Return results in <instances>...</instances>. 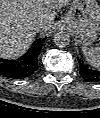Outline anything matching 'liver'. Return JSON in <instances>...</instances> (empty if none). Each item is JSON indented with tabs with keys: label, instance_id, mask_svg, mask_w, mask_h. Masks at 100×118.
Wrapping results in <instances>:
<instances>
[{
	"label": "liver",
	"instance_id": "1",
	"mask_svg": "<svg viewBox=\"0 0 100 118\" xmlns=\"http://www.w3.org/2000/svg\"><path fill=\"white\" fill-rule=\"evenodd\" d=\"M70 0H0V57L17 59L34 40V26H53L59 10Z\"/></svg>",
	"mask_w": 100,
	"mask_h": 118
}]
</instances>
